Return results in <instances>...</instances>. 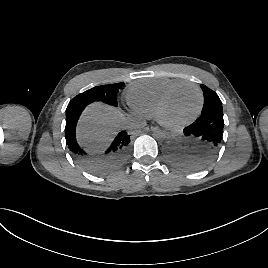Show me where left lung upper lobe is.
Masks as SVG:
<instances>
[{
	"instance_id": "obj_1",
	"label": "left lung upper lobe",
	"mask_w": 268,
	"mask_h": 268,
	"mask_svg": "<svg viewBox=\"0 0 268 268\" xmlns=\"http://www.w3.org/2000/svg\"><path fill=\"white\" fill-rule=\"evenodd\" d=\"M204 94V106L201 115L207 113H223L222 102L218 95L205 85H201Z\"/></svg>"
}]
</instances>
